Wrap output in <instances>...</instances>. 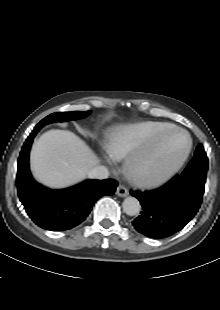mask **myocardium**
Returning a JSON list of instances; mask_svg holds the SVG:
<instances>
[{
	"instance_id": "f54148a6",
	"label": "myocardium",
	"mask_w": 220,
	"mask_h": 310,
	"mask_svg": "<svg viewBox=\"0 0 220 310\" xmlns=\"http://www.w3.org/2000/svg\"><path fill=\"white\" fill-rule=\"evenodd\" d=\"M180 132L184 134L187 138V145L185 147V150L183 151L181 157L178 159V161L170 167L168 170L163 172L160 175L157 176H150L144 173L142 170V156H143V151L145 148H139L135 151H133L126 159L125 161V170L128 173L129 177L131 180L140 185V186H145V187H155L159 186L168 180H170L175 174L178 173V171L183 167L185 164L186 160L188 159V156L191 152L192 149V139L189 135V133L184 130L183 128L177 127V126H169L158 133L154 135V137L151 140V143L149 149L145 151L146 156L151 155L155 149L158 146L159 141L166 136L169 132Z\"/></svg>"
}]
</instances>
